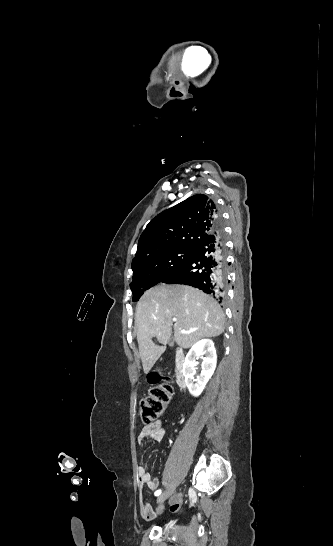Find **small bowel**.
Masks as SVG:
<instances>
[{"mask_svg":"<svg viewBox=\"0 0 333 546\" xmlns=\"http://www.w3.org/2000/svg\"><path fill=\"white\" fill-rule=\"evenodd\" d=\"M165 436V429L163 428L160 421L154 422L148 426H145L141 429L138 435L139 445H143L145 441L151 440L155 442H161ZM137 475L139 485L141 487L146 486L151 490L157 489L159 482L157 479L152 478L151 474L146 470L145 466L139 465L137 467ZM181 506V497L175 496L172 498L170 504V510L175 512L178 511ZM165 509L164 505L159 506L157 514H162ZM140 514L145 520H153L156 517V513L153 512L150 506L143 501H140Z\"/></svg>","mask_w":333,"mask_h":546,"instance_id":"c3829d8e","label":"small bowel"}]
</instances>
